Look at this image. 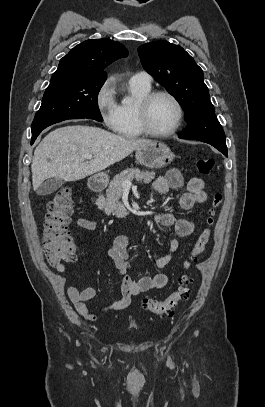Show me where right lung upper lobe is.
Here are the masks:
<instances>
[{
    "label": "right lung upper lobe",
    "mask_w": 265,
    "mask_h": 407,
    "mask_svg": "<svg viewBox=\"0 0 265 407\" xmlns=\"http://www.w3.org/2000/svg\"><path fill=\"white\" fill-rule=\"evenodd\" d=\"M127 55V49L119 42L110 39L86 40L60 60L53 76L68 75L76 79L105 82L106 73L103 70Z\"/></svg>",
    "instance_id": "right-lung-upper-lobe-1"
}]
</instances>
